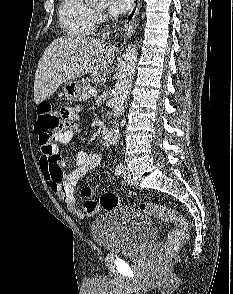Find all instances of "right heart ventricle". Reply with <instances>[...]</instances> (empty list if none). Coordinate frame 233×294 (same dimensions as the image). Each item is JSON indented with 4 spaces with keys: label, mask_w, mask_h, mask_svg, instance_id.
<instances>
[{
    "label": "right heart ventricle",
    "mask_w": 233,
    "mask_h": 294,
    "mask_svg": "<svg viewBox=\"0 0 233 294\" xmlns=\"http://www.w3.org/2000/svg\"><path fill=\"white\" fill-rule=\"evenodd\" d=\"M58 16L62 30L72 37L91 35L98 23L97 13L84 0H61Z\"/></svg>",
    "instance_id": "right-heart-ventricle-1"
}]
</instances>
